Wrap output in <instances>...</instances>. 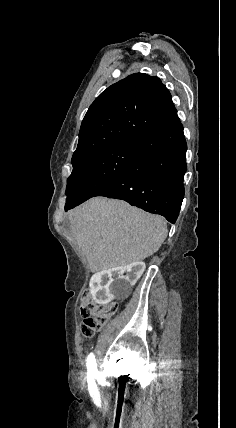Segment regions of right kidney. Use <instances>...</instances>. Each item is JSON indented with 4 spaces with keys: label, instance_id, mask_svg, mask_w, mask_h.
I'll return each instance as SVG.
<instances>
[{
    "label": "right kidney",
    "instance_id": "obj_1",
    "mask_svg": "<svg viewBox=\"0 0 236 428\" xmlns=\"http://www.w3.org/2000/svg\"><path fill=\"white\" fill-rule=\"evenodd\" d=\"M146 266L142 260L128 266L99 269L90 282V292L98 306H109L111 301H125L132 297L131 288L141 278Z\"/></svg>",
    "mask_w": 236,
    "mask_h": 428
}]
</instances>
